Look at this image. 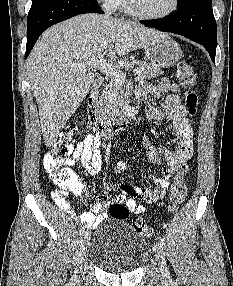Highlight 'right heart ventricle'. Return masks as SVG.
I'll list each match as a JSON object with an SVG mask.
<instances>
[{
  "label": "right heart ventricle",
  "instance_id": "e07e8e85",
  "mask_svg": "<svg viewBox=\"0 0 233 286\" xmlns=\"http://www.w3.org/2000/svg\"><path fill=\"white\" fill-rule=\"evenodd\" d=\"M116 10L127 14L131 13L127 0H120L116 6Z\"/></svg>",
  "mask_w": 233,
  "mask_h": 286
}]
</instances>
